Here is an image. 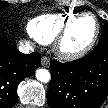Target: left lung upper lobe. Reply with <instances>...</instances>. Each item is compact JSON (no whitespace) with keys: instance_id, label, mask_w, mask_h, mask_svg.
I'll list each match as a JSON object with an SVG mask.
<instances>
[{"instance_id":"5c2ea615","label":"left lung upper lobe","mask_w":108,"mask_h":108,"mask_svg":"<svg viewBox=\"0 0 108 108\" xmlns=\"http://www.w3.org/2000/svg\"><path fill=\"white\" fill-rule=\"evenodd\" d=\"M99 43H106L108 44V22L104 20V33L100 38Z\"/></svg>"}]
</instances>
